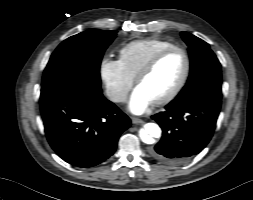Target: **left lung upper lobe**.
<instances>
[{
  "mask_svg": "<svg viewBox=\"0 0 253 200\" xmlns=\"http://www.w3.org/2000/svg\"><path fill=\"white\" fill-rule=\"evenodd\" d=\"M181 36L188 45L191 68L185 87L174 101L185 102L206 91L221 93V65L209 45L188 32H181Z\"/></svg>",
  "mask_w": 253,
  "mask_h": 200,
  "instance_id": "obj_1",
  "label": "left lung upper lobe"
}]
</instances>
